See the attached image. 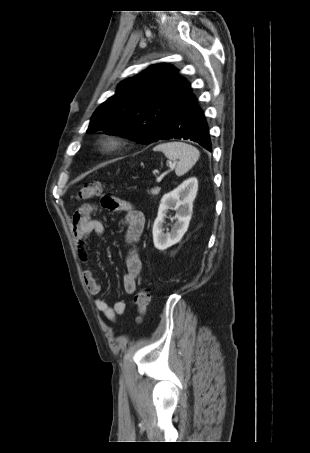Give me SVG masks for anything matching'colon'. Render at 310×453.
Instances as JSON below:
<instances>
[{
    "label": "colon",
    "mask_w": 310,
    "mask_h": 453,
    "mask_svg": "<svg viewBox=\"0 0 310 453\" xmlns=\"http://www.w3.org/2000/svg\"><path fill=\"white\" fill-rule=\"evenodd\" d=\"M102 193V184L98 181L83 185L76 194V199L79 201L89 200ZM102 203L105 207L111 208L114 205V201L110 196H104ZM136 311H137V322H141L147 307L150 302V291L145 287H141L134 298Z\"/></svg>",
    "instance_id": "colon-1"
}]
</instances>
